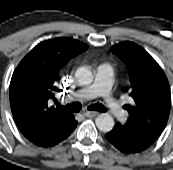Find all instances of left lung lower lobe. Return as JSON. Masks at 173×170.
Returning a JSON list of instances; mask_svg holds the SVG:
<instances>
[{
  "label": "left lung lower lobe",
  "mask_w": 173,
  "mask_h": 170,
  "mask_svg": "<svg viewBox=\"0 0 173 170\" xmlns=\"http://www.w3.org/2000/svg\"><path fill=\"white\" fill-rule=\"evenodd\" d=\"M105 137L116 149L125 154L140 153L151 145L143 142L137 135L130 133L129 129L118 123Z\"/></svg>",
  "instance_id": "1"
}]
</instances>
